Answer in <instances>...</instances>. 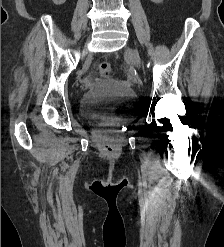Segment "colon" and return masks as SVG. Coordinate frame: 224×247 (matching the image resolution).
<instances>
[{"instance_id": "colon-1", "label": "colon", "mask_w": 224, "mask_h": 247, "mask_svg": "<svg viewBox=\"0 0 224 247\" xmlns=\"http://www.w3.org/2000/svg\"><path fill=\"white\" fill-rule=\"evenodd\" d=\"M112 67L108 62H102L97 69L98 78H107L110 76Z\"/></svg>"}]
</instances>
